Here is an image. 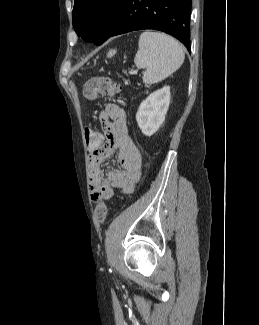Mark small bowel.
<instances>
[{
    "mask_svg": "<svg viewBox=\"0 0 259 325\" xmlns=\"http://www.w3.org/2000/svg\"><path fill=\"white\" fill-rule=\"evenodd\" d=\"M99 118L104 132V136L98 132L101 148L88 149L90 195L93 201L112 198L115 188L124 194L132 193L142 171L141 153L129 135L124 109L118 104L108 103ZM115 151L118 152L119 166L104 177L101 165Z\"/></svg>",
    "mask_w": 259,
    "mask_h": 325,
    "instance_id": "obj_1",
    "label": "small bowel"
}]
</instances>
